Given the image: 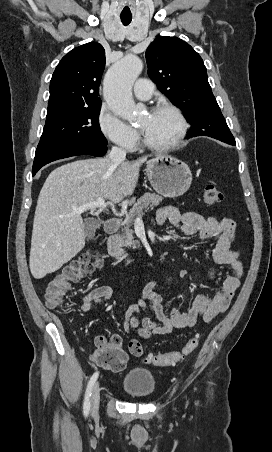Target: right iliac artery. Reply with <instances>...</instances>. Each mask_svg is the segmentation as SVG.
<instances>
[{
	"instance_id": "1",
	"label": "right iliac artery",
	"mask_w": 272,
	"mask_h": 452,
	"mask_svg": "<svg viewBox=\"0 0 272 452\" xmlns=\"http://www.w3.org/2000/svg\"><path fill=\"white\" fill-rule=\"evenodd\" d=\"M99 373L95 372L92 377L90 378V381L88 382L86 393H85V399H84V405H83V411L84 415L87 416L90 411V397H91V391L92 388L98 378Z\"/></svg>"
}]
</instances>
